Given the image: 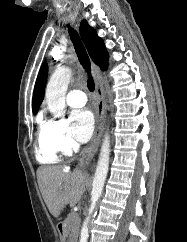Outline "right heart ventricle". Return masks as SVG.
Segmentation results:
<instances>
[{"label":"right heart ventricle","instance_id":"obj_1","mask_svg":"<svg viewBox=\"0 0 187 242\" xmlns=\"http://www.w3.org/2000/svg\"><path fill=\"white\" fill-rule=\"evenodd\" d=\"M45 123L39 119L38 143L36 147V158L40 163L52 164L59 160L58 152L50 145L45 135Z\"/></svg>","mask_w":187,"mask_h":242}]
</instances>
